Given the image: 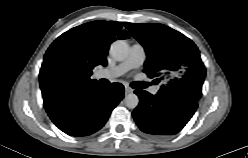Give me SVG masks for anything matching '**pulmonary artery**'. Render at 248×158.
<instances>
[{"label": "pulmonary artery", "instance_id": "e3ab8cb5", "mask_svg": "<svg viewBox=\"0 0 248 158\" xmlns=\"http://www.w3.org/2000/svg\"><path fill=\"white\" fill-rule=\"evenodd\" d=\"M146 58L144 47L135 43L131 46L128 57L116 66L99 70L96 73L98 79H114L119 77L132 69L139 68ZM157 89H153V93H156Z\"/></svg>", "mask_w": 248, "mask_h": 158}]
</instances>
